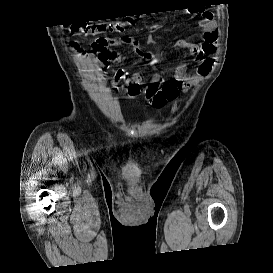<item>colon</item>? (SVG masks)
<instances>
[{
    "mask_svg": "<svg viewBox=\"0 0 273 273\" xmlns=\"http://www.w3.org/2000/svg\"><path fill=\"white\" fill-rule=\"evenodd\" d=\"M127 21L100 22L86 25H78L74 31H82L87 34H100L105 32H121L127 26Z\"/></svg>",
    "mask_w": 273,
    "mask_h": 273,
    "instance_id": "1",
    "label": "colon"
}]
</instances>
